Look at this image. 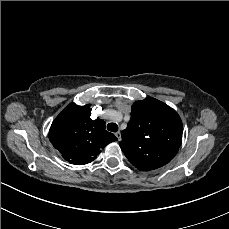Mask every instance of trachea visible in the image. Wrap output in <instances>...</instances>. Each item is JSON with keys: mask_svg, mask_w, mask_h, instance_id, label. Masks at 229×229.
<instances>
[{"mask_svg": "<svg viewBox=\"0 0 229 229\" xmlns=\"http://www.w3.org/2000/svg\"><path fill=\"white\" fill-rule=\"evenodd\" d=\"M107 129L111 132H117L118 131V125L116 123H109L107 125Z\"/></svg>", "mask_w": 229, "mask_h": 229, "instance_id": "trachea-1", "label": "trachea"}]
</instances>
